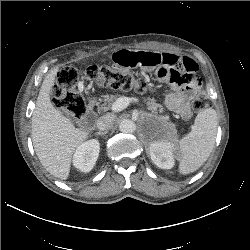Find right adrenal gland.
I'll list each match as a JSON object with an SVG mask.
<instances>
[{
	"label": "right adrenal gland",
	"instance_id": "2a0ac1e0",
	"mask_svg": "<svg viewBox=\"0 0 250 250\" xmlns=\"http://www.w3.org/2000/svg\"><path fill=\"white\" fill-rule=\"evenodd\" d=\"M108 133V131H104V132H97L96 135H101V136H105Z\"/></svg>",
	"mask_w": 250,
	"mask_h": 250
}]
</instances>
